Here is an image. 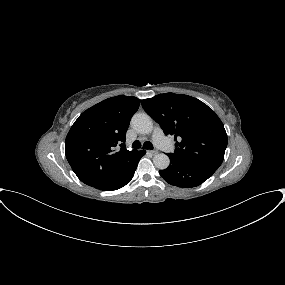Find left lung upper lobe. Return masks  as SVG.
I'll use <instances>...</instances> for the list:
<instances>
[{
  "label": "left lung upper lobe",
  "mask_w": 285,
  "mask_h": 285,
  "mask_svg": "<svg viewBox=\"0 0 285 285\" xmlns=\"http://www.w3.org/2000/svg\"><path fill=\"white\" fill-rule=\"evenodd\" d=\"M146 112L166 135H174L176 150L170 159L218 169L227 147V134L219 117L202 101L166 93L142 100Z\"/></svg>",
  "instance_id": "1"
}]
</instances>
